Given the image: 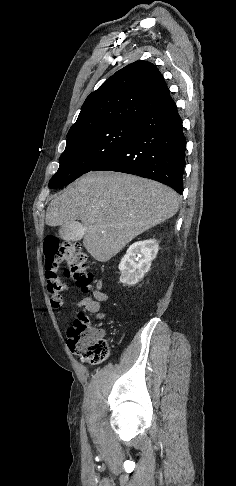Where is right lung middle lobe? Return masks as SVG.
Returning a JSON list of instances; mask_svg holds the SVG:
<instances>
[{
    "mask_svg": "<svg viewBox=\"0 0 236 486\" xmlns=\"http://www.w3.org/2000/svg\"><path fill=\"white\" fill-rule=\"evenodd\" d=\"M137 123L100 127L67 138L59 169L50 179V188L65 186L91 171L124 146L136 134Z\"/></svg>",
    "mask_w": 236,
    "mask_h": 486,
    "instance_id": "dd1d6c3e",
    "label": "right lung middle lobe"
}]
</instances>
